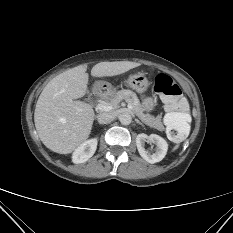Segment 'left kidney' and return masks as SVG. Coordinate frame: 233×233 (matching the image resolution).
<instances>
[{
    "mask_svg": "<svg viewBox=\"0 0 233 233\" xmlns=\"http://www.w3.org/2000/svg\"><path fill=\"white\" fill-rule=\"evenodd\" d=\"M155 144L156 152L151 153L145 149V143ZM136 145L140 156L149 163L160 162L166 155L168 150L167 142L156 134H151L150 136L142 133L138 134L136 137Z\"/></svg>",
    "mask_w": 233,
    "mask_h": 233,
    "instance_id": "left-kidney-1",
    "label": "left kidney"
}]
</instances>
